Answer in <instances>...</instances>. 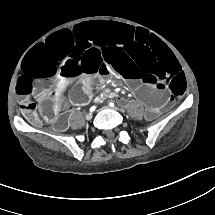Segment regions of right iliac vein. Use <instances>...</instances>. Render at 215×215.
<instances>
[{
  "mask_svg": "<svg viewBox=\"0 0 215 215\" xmlns=\"http://www.w3.org/2000/svg\"><path fill=\"white\" fill-rule=\"evenodd\" d=\"M91 118H92V113H89V114L86 115L87 120H90Z\"/></svg>",
  "mask_w": 215,
  "mask_h": 215,
  "instance_id": "1",
  "label": "right iliac vein"
}]
</instances>
